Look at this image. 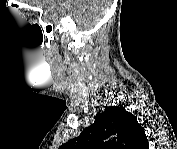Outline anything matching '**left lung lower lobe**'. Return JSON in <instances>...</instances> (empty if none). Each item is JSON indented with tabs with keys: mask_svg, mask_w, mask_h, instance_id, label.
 I'll use <instances>...</instances> for the list:
<instances>
[{
	"mask_svg": "<svg viewBox=\"0 0 177 149\" xmlns=\"http://www.w3.org/2000/svg\"><path fill=\"white\" fill-rule=\"evenodd\" d=\"M141 142H142L141 148H143V149L148 148V140H147V137H144Z\"/></svg>",
	"mask_w": 177,
	"mask_h": 149,
	"instance_id": "left-lung-lower-lobe-1",
	"label": "left lung lower lobe"
}]
</instances>
